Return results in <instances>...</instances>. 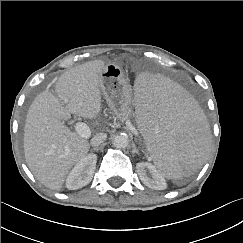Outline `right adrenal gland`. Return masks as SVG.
<instances>
[{"instance_id":"1","label":"right adrenal gland","mask_w":243,"mask_h":243,"mask_svg":"<svg viewBox=\"0 0 243 243\" xmlns=\"http://www.w3.org/2000/svg\"><path fill=\"white\" fill-rule=\"evenodd\" d=\"M98 150H99V148H98V147H94L93 149H91V152H93V151L98 152Z\"/></svg>"}]
</instances>
